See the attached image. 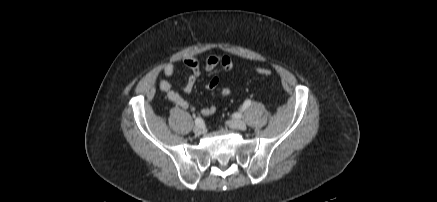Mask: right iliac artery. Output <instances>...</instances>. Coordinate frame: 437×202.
Listing matches in <instances>:
<instances>
[{
  "mask_svg": "<svg viewBox=\"0 0 437 202\" xmlns=\"http://www.w3.org/2000/svg\"><path fill=\"white\" fill-rule=\"evenodd\" d=\"M195 124H196V126H202L204 124V121L201 117H197L195 119Z\"/></svg>",
  "mask_w": 437,
  "mask_h": 202,
  "instance_id": "right-iliac-artery-1",
  "label": "right iliac artery"
}]
</instances>
